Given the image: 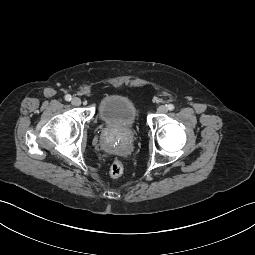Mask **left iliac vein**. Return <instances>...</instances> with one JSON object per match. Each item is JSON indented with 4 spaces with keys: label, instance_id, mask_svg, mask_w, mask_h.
I'll return each instance as SVG.
<instances>
[{
    "label": "left iliac vein",
    "instance_id": "4c4485c4",
    "mask_svg": "<svg viewBox=\"0 0 255 255\" xmlns=\"http://www.w3.org/2000/svg\"><path fill=\"white\" fill-rule=\"evenodd\" d=\"M157 111L159 113L163 114V113H166L168 111V108L165 105H161V106L158 107Z\"/></svg>",
    "mask_w": 255,
    "mask_h": 255
}]
</instances>
